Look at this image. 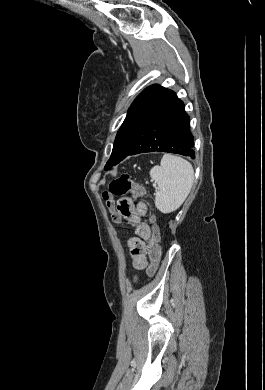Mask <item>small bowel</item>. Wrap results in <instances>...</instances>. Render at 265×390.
Returning <instances> with one entry per match:
<instances>
[{
	"label": "small bowel",
	"mask_w": 265,
	"mask_h": 390,
	"mask_svg": "<svg viewBox=\"0 0 265 390\" xmlns=\"http://www.w3.org/2000/svg\"><path fill=\"white\" fill-rule=\"evenodd\" d=\"M116 208L119 214L136 229L137 237L130 238L128 246L134 268L144 269L147 266L145 242L152 236L151 226L142 221L146 207L143 204L135 205L130 198L123 197L117 201Z\"/></svg>",
	"instance_id": "small-bowel-1"
}]
</instances>
